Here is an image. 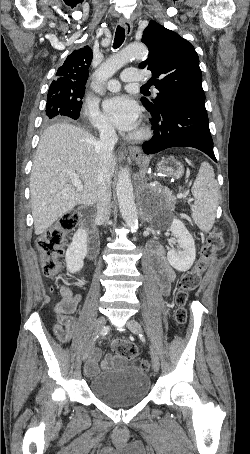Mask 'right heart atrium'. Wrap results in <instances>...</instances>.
<instances>
[{
    "mask_svg": "<svg viewBox=\"0 0 250 454\" xmlns=\"http://www.w3.org/2000/svg\"><path fill=\"white\" fill-rule=\"evenodd\" d=\"M83 114L96 130L102 133H110L112 131L111 124L107 118L100 113L95 105L86 103L83 108Z\"/></svg>",
    "mask_w": 250,
    "mask_h": 454,
    "instance_id": "right-heart-atrium-1",
    "label": "right heart atrium"
}]
</instances>
